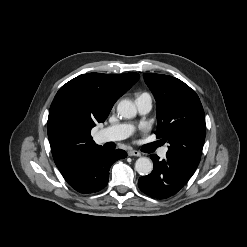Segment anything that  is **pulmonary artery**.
Here are the masks:
<instances>
[{"mask_svg":"<svg viewBox=\"0 0 247 247\" xmlns=\"http://www.w3.org/2000/svg\"><path fill=\"white\" fill-rule=\"evenodd\" d=\"M135 103L137 110L141 115L148 114L152 109V100L149 96L137 98ZM132 130L133 127L129 124L114 125L102 130L99 133L98 138L101 142L119 141L127 138L131 134ZM166 153V147L159 151L161 157H165Z\"/></svg>","mask_w":247,"mask_h":247,"instance_id":"e3ab8cb5","label":"pulmonary artery"}]
</instances>
